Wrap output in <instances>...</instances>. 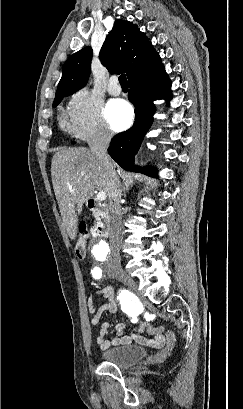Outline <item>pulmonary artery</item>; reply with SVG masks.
Wrapping results in <instances>:
<instances>
[{
    "label": "pulmonary artery",
    "mask_w": 243,
    "mask_h": 409,
    "mask_svg": "<svg viewBox=\"0 0 243 409\" xmlns=\"http://www.w3.org/2000/svg\"><path fill=\"white\" fill-rule=\"evenodd\" d=\"M108 93L112 96H118L121 94V87L118 84V79L116 77H112L109 81L108 85Z\"/></svg>",
    "instance_id": "1"
}]
</instances>
